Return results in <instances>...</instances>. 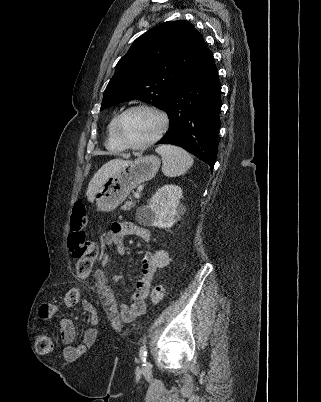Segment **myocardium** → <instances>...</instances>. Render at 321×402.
<instances>
[{
  "label": "myocardium",
  "instance_id": "f54148a6",
  "mask_svg": "<svg viewBox=\"0 0 321 402\" xmlns=\"http://www.w3.org/2000/svg\"><path fill=\"white\" fill-rule=\"evenodd\" d=\"M134 110L150 111V112L156 114L160 118V121H161V126H160L158 133L150 140H148L144 143H141V144H131V143L127 142L121 134V123H122L123 118L126 116V114H128L129 112L134 111ZM168 128H169V118H168L167 114L162 109H160L156 106H153L150 104H144V103L131 105V106L125 108L123 111H121L117 115L115 124H114V132H115V136H116L118 142L121 144V146L124 149H129V150H144V149L151 147L164 136V134L167 132Z\"/></svg>",
  "mask_w": 321,
  "mask_h": 402
}]
</instances>
